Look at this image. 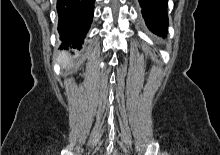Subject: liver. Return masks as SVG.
I'll use <instances>...</instances> for the list:
<instances>
[{
    "label": "liver",
    "instance_id": "1",
    "mask_svg": "<svg viewBox=\"0 0 220 155\" xmlns=\"http://www.w3.org/2000/svg\"><path fill=\"white\" fill-rule=\"evenodd\" d=\"M59 61L63 64V66H68L69 64V55L66 52H63L59 56Z\"/></svg>",
    "mask_w": 220,
    "mask_h": 155
}]
</instances>
